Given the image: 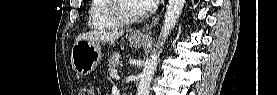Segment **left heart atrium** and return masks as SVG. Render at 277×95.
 Wrapping results in <instances>:
<instances>
[{
	"label": "left heart atrium",
	"instance_id": "1",
	"mask_svg": "<svg viewBox=\"0 0 277 95\" xmlns=\"http://www.w3.org/2000/svg\"><path fill=\"white\" fill-rule=\"evenodd\" d=\"M138 2L141 4L142 9L150 10L159 3V0H138Z\"/></svg>",
	"mask_w": 277,
	"mask_h": 95
}]
</instances>
